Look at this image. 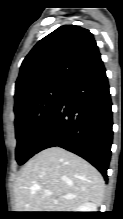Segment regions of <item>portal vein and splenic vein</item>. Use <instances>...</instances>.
<instances>
[{
    "label": "portal vein and splenic vein",
    "mask_w": 123,
    "mask_h": 219,
    "mask_svg": "<svg viewBox=\"0 0 123 219\" xmlns=\"http://www.w3.org/2000/svg\"><path fill=\"white\" fill-rule=\"evenodd\" d=\"M44 193H45L46 196H50V195L52 194L49 190H46ZM63 198H65V199H71L72 196H63Z\"/></svg>",
    "instance_id": "portal-vein-and-splenic-vein-1"
}]
</instances>
